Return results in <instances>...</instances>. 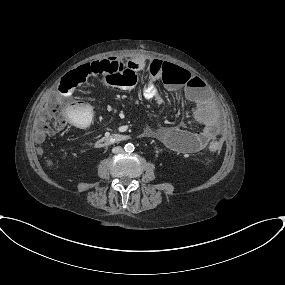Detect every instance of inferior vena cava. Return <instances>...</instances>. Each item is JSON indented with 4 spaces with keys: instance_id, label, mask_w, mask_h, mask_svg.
Wrapping results in <instances>:
<instances>
[{
    "instance_id": "602c4592",
    "label": "inferior vena cava",
    "mask_w": 285,
    "mask_h": 285,
    "mask_svg": "<svg viewBox=\"0 0 285 285\" xmlns=\"http://www.w3.org/2000/svg\"><path fill=\"white\" fill-rule=\"evenodd\" d=\"M122 151H123V149H122V147H120V146L114 147V148L112 149V152H113L114 154L120 153V152H122Z\"/></svg>"
}]
</instances>
